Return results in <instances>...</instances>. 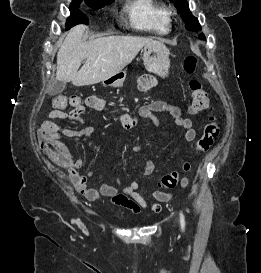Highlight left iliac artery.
I'll return each instance as SVG.
<instances>
[{"label": "left iliac artery", "instance_id": "44dca946", "mask_svg": "<svg viewBox=\"0 0 261 273\" xmlns=\"http://www.w3.org/2000/svg\"><path fill=\"white\" fill-rule=\"evenodd\" d=\"M180 224H181L182 230H184L185 229V218H184V215L182 212L180 213Z\"/></svg>", "mask_w": 261, "mask_h": 273}]
</instances>
